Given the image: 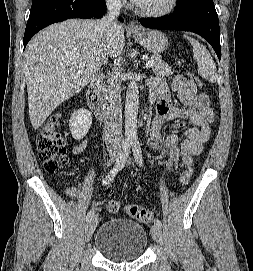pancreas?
<instances>
[{"label":"pancreas","instance_id":"pancreas-1","mask_svg":"<svg viewBox=\"0 0 253 271\" xmlns=\"http://www.w3.org/2000/svg\"><path fill=\"white\" fill-rule=\"evenodd\" d=\"M148 61H152L155 63V65L152 66V70L156 75L168 77L173 74L171 67L166 62L162 61L158 55H151ZM116 78V75H113V80ZM105 87L106 85L103 86L102 93H104Z\"/></svg>","mask_w":253,"mask_h":271}]
</instances>
